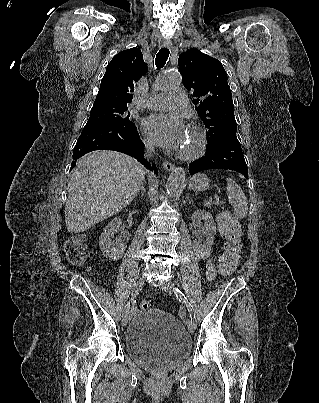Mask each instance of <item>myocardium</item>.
I'll return each mask as SVG.
<instances>
[{"label": "myocardium", "instance_id": "f54148a6", "mask_svg": "<svg viewBox=\"0 0 319 403\" xmlns=\"http://www.w3.org/2000/svg\"><path fill=\"white\" fill-rule=\"evenodd\" d=\"M189 131L194 135L196 145L192 151H179L178 156L183 160L193 161L200 158L205 153L207 147V137L204 131L197 125L191 124L189 126Z\"/></svg>", "mask_w": 319, "mask_h": 403}]
</instances>
